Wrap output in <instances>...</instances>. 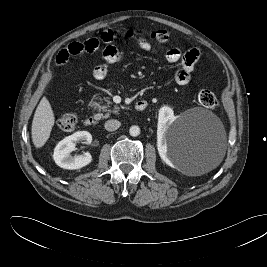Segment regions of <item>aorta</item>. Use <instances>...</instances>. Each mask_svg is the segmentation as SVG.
<instances>
[{"mask_svg": "<svg viewBox=\"0 0 267 267\" xmlns=\"http://www.w3.org/2000/svg\"><path fill=\"white\" fill-rule=\"evenodd\" d=\"M129 133L131 136L136 137L140 134V128L136 125L131 126L129 129Z\"/></svg>", "mask_w": 267, "mask_h": 267, "instance_id": "1", "label": "aorta"}]
</instances>
